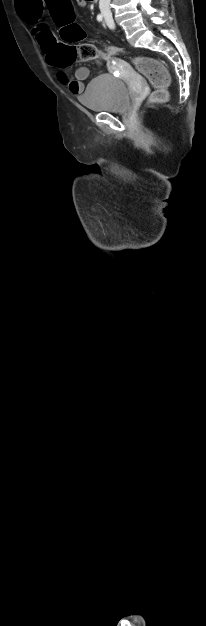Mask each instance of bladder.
Masks as SVG:
<instances>
[{"mask_svg":"<svg viewBox=\"0 0 206 626\" xmlns=\"http://www.w3.org/2000/svg\"><path fill=\"white\" fill-rule=\"evenodd\" d=\"M80 103L96 112H122L130 104L127 85L112 75H101L92 80L79 96Z\"/></svg>","mask_w":206,"mask_h":626,"instance_id":"1","label":"bladder"}]
</instances>
